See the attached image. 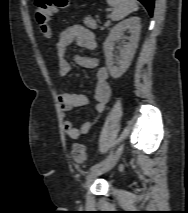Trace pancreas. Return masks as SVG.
Instances as JSON below:
<instances>
[{
	"label": "pancreas",
	"mask_w": 188,
	"mask_h": 213,
	"mask_svg": "<svg viewBox=\"0 0 188 213\" xmlns=\"http://www.w3.org/2000/svg\"><path fill=\"white\" fill-rule=\"evenodd\" d=\"M83 23L91 28V29H97V23L94 19H92L90 16L86 17L84 20H83Z\"/></svg>",
	"instance_id": "obj_1"
}]
</instances>
